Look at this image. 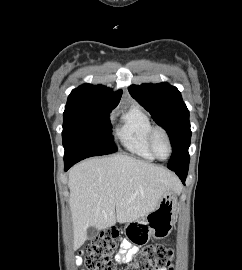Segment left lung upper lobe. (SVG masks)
I'll use <instances>...</instances> for the list:
<instances>
[{"label": "left lung upper lobe", "instance_id": "1", "mask_svg": "<svg viewBox=\"0 0 242 270\" xmlns=\"http://www.w3.org/2000/svg\"><path fill=\"white\" fill-rule=\"evenodd\" d=\"M129 92L167 131L172 146L167 167L175 172H188L191 130L189 111L181 93L168 83L132 85Z\"/></svg>", "mask_w": 242, "mask_h": 270}]
</instances>
